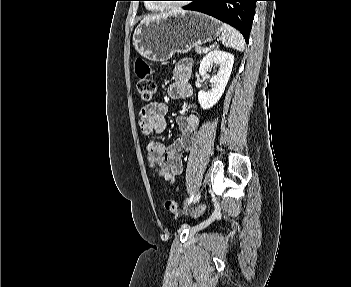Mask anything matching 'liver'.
<instances>
[{"instance_id": "1", "label": "liver", "mask_w": 351, "mask_h": 287, "mask_svg": "<svg viewBox=\"0 0 351 287\" xmlns=\"http://www.w3.org/2000/svg\"><path fill=\"white\" fill-rule=\"evenodd\" d=\"M178 13H185V11L179 9V10H176V11L170 12V13L148 16V17L144 18V19L142 20V22L149 21V20H153V19L163 18V17L169 16V15L178 14Z\"/></svg>"}]
</instances>
